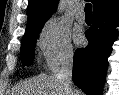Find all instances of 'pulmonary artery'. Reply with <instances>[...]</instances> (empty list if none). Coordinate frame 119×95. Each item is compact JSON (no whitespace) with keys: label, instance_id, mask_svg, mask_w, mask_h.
<instances>
[{"label":"pulmonary artery","instance_id":"e3ab8cb5","mask_svg":"<svg viewBox=\"0 0 119 95\" xmlns=\"http://www.w3.org/2000/svg\"><path fill=\"white\" fill-rule=\"evenodd\" d=\"M76 19L80 23H84L85 22V14H84L83 7H79L78 8V11H77V14H76Z\"/></svg>","mask_w":119,"mask_h":95}]
</instances>
